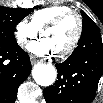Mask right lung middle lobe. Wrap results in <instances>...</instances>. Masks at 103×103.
Segmentation results:
<instances>
[{
  "label": "right lung middle lobe",
  "mask_w": 103,
  "mask_h": 103,
  "mask_svg": "<svg viewBox=\"0 0 103 103\" xmlns=\"http://www.w3.org/2000/svg\"><path fill=\"white\" fill-rule=\"evenodd\" d=\"M31 11L32 9L0 7V43H17L14 37L15 27Z\"/></svg>",
  "instance_id": "right-lung-middle-lobe-1"
}]
</instances>
